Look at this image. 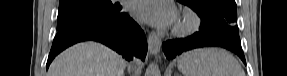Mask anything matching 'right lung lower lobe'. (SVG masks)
Wrapping results in <instances>:
<instances>
[{"label": "right lung lower lobe", "mask_w": 287, "mask_h": 76, "mask_svg": "<svg viewBox=\"0 0 287 76\" xmlns=\"http://www.w3.org/2000/svg\"><path fill=\"white\" fill-rule=\"evenodd\" d=\"M86 40L99 41L112 48L127 60L145 59L147 41L144 32L126 13L120 12L107 19L84 22L58 32L48 57L52 60L67 47Z\"/></svg>", "instance_id": "right-lung-lower-lobe-1"}]
</instances>
